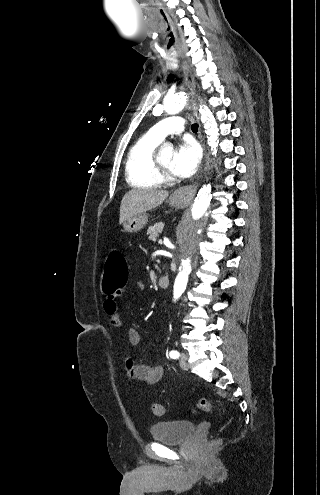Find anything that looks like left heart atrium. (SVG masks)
I'll return each mask as SVG.
<instances>
[{"label":"left heart atrium","mask_w":320,"mask_h":495,"mask_svg":"<svg viewBox=\"0 0 320 495\" xmlns=\"http://www.w3.org/2000/svg\"><path fill=\"white\" fill-rule=\"evenodd\" d=\"M200 161V149L191 140L182 142L174 152L171 171L176 176L186 178L195 173Z\"/></svg>","instance_id":"left-heart-atrium-1"}]
</instances>
